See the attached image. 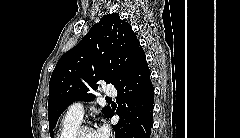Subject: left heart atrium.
<instances>
[{"label":"left heart atrium","mask_w":240,"mask_h":138,"mask_svg":"<svg viewBox=\"0 0 240 138\" xmlns=\"http://www.w3.org/2000/svg\"><path fill=\"white\" fill-rule=\"evenodd\" d=\"M94 131L97 138H106L108 136V129L104 125H98Z\"/></svg>","instance_id":"obj_1"}]
</instances>
